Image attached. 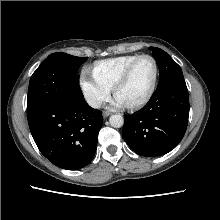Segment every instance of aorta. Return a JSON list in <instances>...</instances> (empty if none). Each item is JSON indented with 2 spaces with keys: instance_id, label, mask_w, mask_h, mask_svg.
I'll use <instances>...</instances> for the list:
<instances>
[{
  "instance_id": "1",
  "label": "aorta",
  "mask_w": 220,
  "mask_h": 220,
  "mask_svg": "<svg viewBox=\"0 0 220 220\" xmlns=\"http://www.w3.org/2000/svg\"><path fill=\"white\" fill-rule=\"evenodd\" d=\"M109 122L112 127L120 128L123 126L124 119L120 114H115L110 116Z\"/></svg>"
}]
</instances>
